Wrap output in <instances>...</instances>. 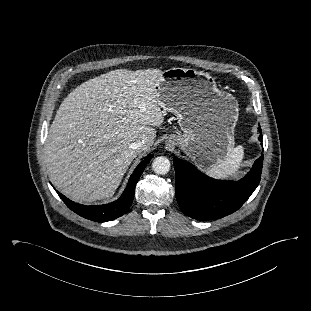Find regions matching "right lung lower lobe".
<instances>
[{"mask_svg": "<svg viewBox=\"0 0 311 311\" xmlns=\"http://www.w3.org/2000/svg\"><path fill=\"white\" fill-rule=\"evenodd\" d=\"M152 157H153L152 155L147 156L144 159V161H142L137 166V168L131 175L128 185L124 190L122 196L112 203L97 206H86L75 203L69 200L64 195L60 194L59 192L57 193L68 208H70L73 212L77 213L78 215L86 219L96 222H106L114 220L124 215L129 210L133 201L135 186L141 174L143 173V170L145 169L146 165L150 162Z\"/></svg>", "mask_w": 311, "mask_h": 311, "instance_id": "obj_1", "label": "right lung lower lobe"}]
</instances>
